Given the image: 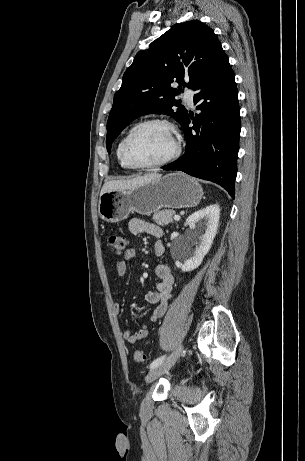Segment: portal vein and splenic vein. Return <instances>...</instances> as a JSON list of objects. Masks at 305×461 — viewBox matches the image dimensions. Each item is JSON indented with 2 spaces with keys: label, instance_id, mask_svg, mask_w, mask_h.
<instances>
[{
  "label": "portal vein and splenic vein",
  "instance_id": "18ae733b",
  "mask_svg": "<svg viewBox=\"0 0 305 461\" xmlns=\"http://www.w3.org/2000/svg\"><path fill=\"white\" fill-rule=\"evenodd\" d=\"M174 220H175V221H179V220H180V216H179V215H174Z\"/></svg>",
  "mask_w": 305,
  "mask_h": 461
}]
</instances>
